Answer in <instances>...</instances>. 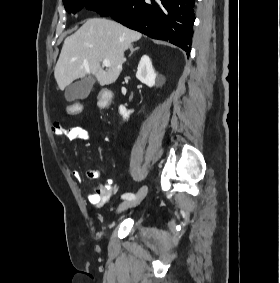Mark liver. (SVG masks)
<instances>
[{
    "label": "liver",
    "mask_w": 280,
    "mask_h": 283,
    "mask_svg": "<svg viewBox=\"0 0 280 283\" xmlns=\"http://www.w3.org/2000/svg\"><path fill=\"white\" fill-rule=\"evenodd\" d=\"M142 34L104 18L88 19L68 36L57 61L54 76L60 90L74 80L93 75L101 86L114 83L122 71L124 52ZM111 66L104 70L101 61Z\"/></svg>",
    "instance_id": "obj_1"
}]
</instances>
